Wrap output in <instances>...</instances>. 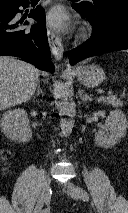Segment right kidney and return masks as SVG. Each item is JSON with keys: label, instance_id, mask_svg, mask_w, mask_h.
<instances>
[{"label": "right kidney", "instance_id": "right-kidney-1", "mask_svg": "<svg viewBox=\"0 0 128 213\" xmlns=\"http://www.w3.org/2000/svg\"><path fill=\"white\" fill-rule=\"evenodd\" d=\"M0 126L4 134L12 141L26 143L32 138L29 119L24 109L16 108L5 112Z\"/></svg>", "mask_w": 128, "mask_h": 213}]
</instances>
